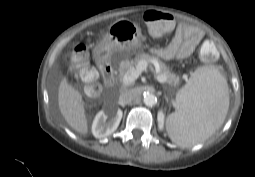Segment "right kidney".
Masks as SVG:
<instances>
[{
    "mask_svg": "<svg viewBox=\"0 0 255 177\" xmlns=\"http://www.w3.org/2000/svg\"><path fill=\"white\" fill-rule=\"evenodd\" d=\"M122 115L123 112L120 109L109 115L105 114L104 111L98 112L92 124L93 135L99 139L111 135L118 128Z\"/></svg>",
    "mask_w": 255,
    "mask_h": 177,
    "instance_id": "1",
    "label": "right kidney"
}]
</instances>
